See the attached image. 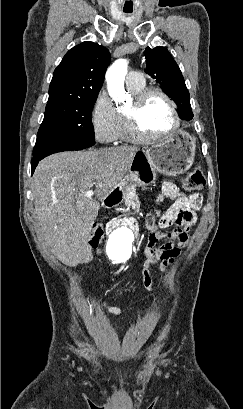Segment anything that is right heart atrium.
Returning a JSON list of instances; mask_svg holds the SVG:
<instances>
[{"instance_id":"obj_1","label":"right heart atrium","mask_w":243,"mask_h":409,"mask_svg":"<svg viewBox=\"0 0 243 409\" xmlns=\"http://www.w3.org/2000/svg\"><path fill=\"white\" fill-rule=\"evenodd\" d=\"M90 119L94 135L100 141L113 143L120 138L121 116L105 92L95 99Z\"/></svg>"}]
</instances>
